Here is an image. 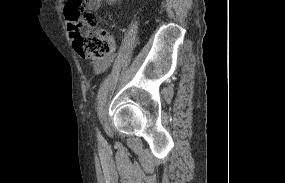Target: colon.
Instances as JSON below:
<instances>
[{
	"label": "colon",
	"instance_id": "colon-1",
	"mask_svg": "<svg viewBox=\"0 0 285 183\" xmlns=\"http://www.w3.org/2000/svg\"><path fill=\"white\" fill-rule=\"evenodd\" d=\"M83 0H68L64 8L65 20L76 52L93 62L112 56L116 52L113 35L97 27V17L83 9Z\"/></svg>",
	"mask_w": 285,
	"mask_h": 183
}]
</instances>
